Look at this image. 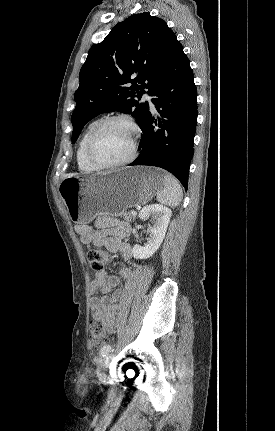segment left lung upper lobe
Here are the masks:
<instances>
[{
	"label": "left lung upper lobe",
	"mask_w": 275,
	"mask_h": 431,
	"mask_svg": "<svg viewBox=\"0 0 275 431\" xmlns=\"http://www.w3.org/2000/svg\"><path fill=\"white\" fill-rule=\"evenodd\" d=\"M180 45L166 22L147 12L115 25L101 43L90 48L80 70L71 117L72 143L88 121L105 112L131 114L141 127L149 105L134 97L140 99L145 88L152 95Z\"/></svg>",
	"instance_id": "left-lung-upper-lobe-1"
}]
</instances>
